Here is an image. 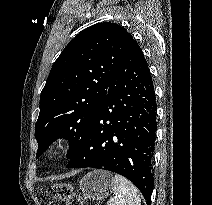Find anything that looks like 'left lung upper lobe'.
<instances>
[{
  "label": "left lung upper lobe",
  "mask_w": 212,
  "mask_h": 205,
  "mask_svg": "<svg viewBox=\"0 0 212 205\" xmlns=\"http://www.w3.org/2000/svg\"><path fill=\"white\" fill-rule=\"evenodd\" d=\"M132 41L124 27L104 22L84 29L65 47L41 92L36 157L58 138L70 141L68 159L78 152Z\"/></svg>",
  "instance_id": "1"
}]
</instances>
